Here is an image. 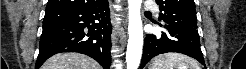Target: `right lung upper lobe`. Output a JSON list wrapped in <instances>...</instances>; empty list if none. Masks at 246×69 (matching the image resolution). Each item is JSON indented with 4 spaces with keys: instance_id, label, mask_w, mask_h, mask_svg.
Instances as JSON below:
<instances>
[{
    "instance_id": "obj_1",
    "label": "right lung upper lobe",
    "mask_w": 246,
    "mask_h": 69,
    "mask_svg": "<svg viewBox=\"0 0 246 69\" xmlns=\"http://www.w3.org/2000/svg\"><path fill=\"white\" fill-rule=\"evenodd\" d=\"M107 0H49L46 10L58 7H88L99 5Z\"/></svg>"
}]
</instances>
